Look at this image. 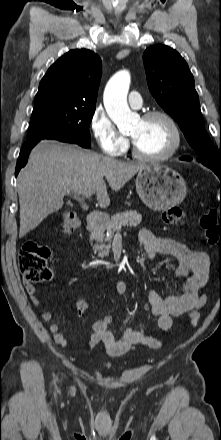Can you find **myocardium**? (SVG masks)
Here are the masks:
<instances>
[{
	"instance_id": "1",
	"label": "myocardium",
	"mask_w": 221,
	"mask_h": 440,
	"mask_svg": "<svg viewBox=\"0 0 221 440\" xmlns=\"http://www.w3.org/2000/svg\"><path fill=\"white\" fill-rule=\"evenodd\" d=\"M155 117H161L164 120H166L167 123L169 124V126L172 130V134H173L172 144H171L170 148L162 154L147 155V154L142 153L137 148L134 141H132V153L137 159H140L143 161H149V162L165 161V160H168L171 157H173L177 153V151L179 150V148L181 146V142H182L181 131H180L178 123L176 122V120L173 118V116L171 114H169L168 112H166L164 110L155 109V110H151V111L144 113L142 115L141 119L142 120H149V119H152Z\"/></svg>"
}]
</instances>
